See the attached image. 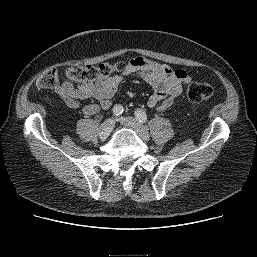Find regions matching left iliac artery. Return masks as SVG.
Segmentation results:
<instances>
[{"instance_id": "1", "label": "left iliac artery", "mask_w": 257, "mask_h": 257, "mask_svg": "<svg viewBox=\"0 0 257 257\" xmlns=\"http://www.w3.org/2000/svg\"><path fill=\"white\" fill-rule=\"evenodd\" d=\"M135 116L139 122L145 123L147 121V115L142 110H135Z\"/></svg>"}]
</instances>
